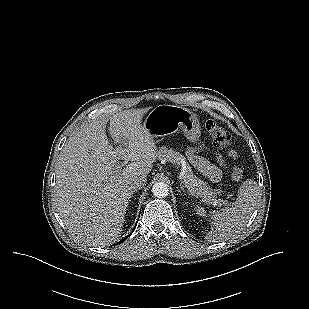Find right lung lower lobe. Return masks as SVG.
<instances>
[{
	"instance_id": "98d812e1",
	"label": "right lung lower lobe",
	"mask_w": 309,
	"mask_h": 309,
	"mask_svg": "<svg viewBox=\"0 0 309 309\" xmlns=\"http://www.w3.org/2000/svg\"><path fill=\"white\" fill-rule=\"evenodd\" d=\"M128 236H130V235H128ZM126 238H127V237H125L124 239H122V240L119 242V244L122 243L123 241H125Z\"/></svg>"
}]
</instances>
